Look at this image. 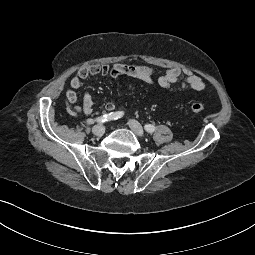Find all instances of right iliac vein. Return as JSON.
Instances as JSON below:
<instances>
[{
  "label": "right iliac vein",
  "mask_w": 255,
  "mask_h": 255,
  "mask_svg": "<svg viewBox=\"0 0 255 255\" xmlns=\"http://www.w3.org/2000/svg\"><path fill=\"white\" fill-rule=\"evenodd\" d=\"M92 132L94 135L101 137L105 132V127L103 125H96L93 127Z\"/></svg>",
  "instance_id": "right-iliac-vein-1"
}]
</instances>
